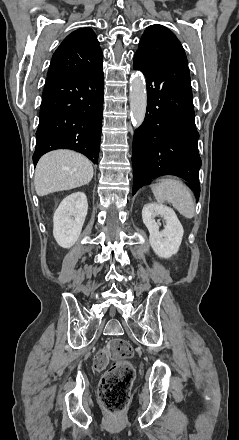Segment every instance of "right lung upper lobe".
Masks as SVG:
<instances>
[{
    "instance_id": "right-lung-upper-lobe-1",
    "label": "right lung upper lobe",
    "mask_w": 239,
    "mask_h": 440,
    "mask_svg": "<svg viewBox=\"0 0 239 440\" xmlns=\"http://www.w3.org/2000/svg\"><path fill=\"white\" fill-rule=\"evenodd\" d=\"M96 34L81 28L69 34L53 54L47 76L91 74L103 67Z\"/></svg>"
}]
</instances>
